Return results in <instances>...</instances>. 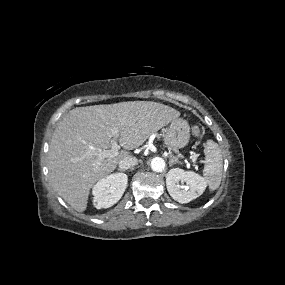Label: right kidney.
Masks as SVG:
<instances>
[{"label":"right kidney","mask_w":285,"mask_h":285,"mask_svg":"<svg viewBox=\"0 0 285 285\" xmlns=\"http://www.w3.org/2000/svg\"><path fill=\"white\" fill-rule=\"evenodd\" d=\"M128 177L123 173L108 175L93 187V204L97 209L108 208L117 203L127 187Z\"/></svg>","instance_id":"1"}]
</instances>
